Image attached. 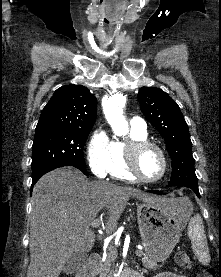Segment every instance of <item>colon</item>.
I'll list each match as a JSON object with an SVG mask.
<instances>
[{
  "label": "colon",
  "mask_w": 221,
  "mask_h": 277,
  "mask_svg": "<svg viewBox=\"0 0 221 277\" xmlns=\"http://www.w3.org/2000/svg\"><path fill=\"white\" fill-rule=\"evenodd\" d=\"M175 262L181 268L190 269L193 266L194 260L189 253L185 251H179L175 255ZM198 277H216V274L214 269L207 268L202 270Z\"/></svg>",
  "instance_id": "obj_1"
}]
</instances>
